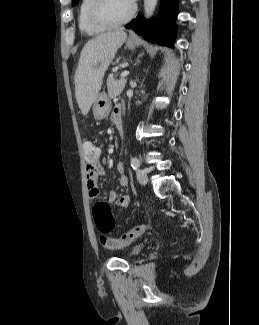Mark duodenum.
Instances as JSON below:
<instances>
[{
  "label": "duodenum",
  "instance_id": "duodenum-1",
  "mask_svg": "<svg viewBox=\"0 0 259 325\" xmlns=\"http://www.w3.org/2000/svg\"><path fill=\"white\" fill-rule=\"evenodd\" d=\"M114 124L116 126V129L118 130L120 136H122L123 133V121H122V116L117 115L114 119Z\"/></svg>",
  "mask_w": 259,
  "mask_h": 325
}]
</instances>
